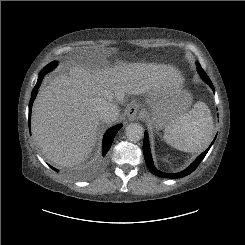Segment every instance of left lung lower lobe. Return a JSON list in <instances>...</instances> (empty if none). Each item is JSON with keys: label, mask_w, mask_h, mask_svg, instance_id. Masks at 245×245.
I'll list each match as a JSON object with an SVG mask.
<instances>
[{"label": "left lung lower lobe", "mask_w": 245, "mask_h": 245, "mask_svg": "<svg viewBox=\"0 0 245 245\" xmlns=\"http://www.w3.org/2000/svg\"><path fill=\"white\" fill-rule=\"evenodd\" d=\"M202 77V79L212 88V90L214 91V87L212 85V82L210 81L209 77L206 75V73H203L202 75H200ZM214 143V141L211 143V145L209 146V148L204 151L202 154H200L197 159L188 167L186 168L184 171L179 172V173H173V174H167V173H163L158 171L153 163L152 157H151V152H150V147H149V143H148V134L147 132H145L144 134V142H143V153H144V158L147 164V167L149 168V170L156 176L159 177H166V178H182L185 177L187 175H189L190 173H192L197 166L200 164V162L204 159L205 155L207 154V152L209 151L210 147L212 146V144Z\"/></svg>", "instance_id": "1"}]
</instances>
